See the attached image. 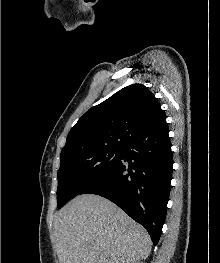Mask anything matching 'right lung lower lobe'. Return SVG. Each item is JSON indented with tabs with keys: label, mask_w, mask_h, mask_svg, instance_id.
<instances>
[{
	"label": "right lung lower lobe",
	"mask_w": 220,
	"mask_h": 263,
	"mask_svg": "<svg viewBox=\"0 0 220 263\" xmlns=\"http://www.w3.org/2000/svg\"><path fill=\"white\" fill-rule=\"evenodd\" d=\"M168 132L139 138L123 149L122 158L80 194H97L114 202L143 225L157 245L165 222L172 175Z\"/></svg>",
	"instance_id": "1"
}]
</instances>
